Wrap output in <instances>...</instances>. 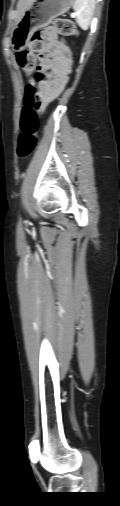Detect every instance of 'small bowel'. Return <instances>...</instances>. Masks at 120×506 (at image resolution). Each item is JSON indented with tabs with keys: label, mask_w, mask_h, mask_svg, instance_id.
I'll use <instances>...</instances> for the list:
<instances>
[{
	"label": "small bowel",
	"mask_w": 120,
	"mask_h": 506,
	"mask_svg": "<svg viewBox=\"0 0 120 506\" xmlns=\"http://www.w3.org/2000/svg\"><path fill=\"white\" fill-rule=\"evenodd\" d=\"M45 51L54 53L52 58H43L41 69H53L56 77L53 80H44L40 83L42 104L46 106L53 102L64 90L68 73L71 70L72 58L69 48L58 39L56 31L50 27L44 31Z\"/></svg>",
	"instance_id": "obj_1"
}]
</instances>
